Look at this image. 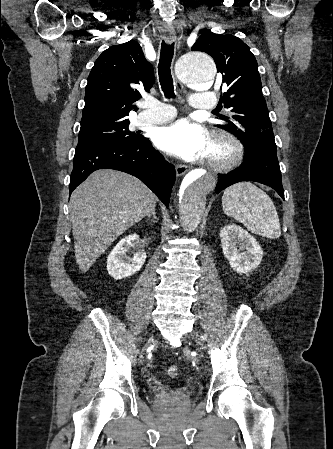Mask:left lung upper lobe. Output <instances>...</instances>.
Instances as JSON below:
<instances>
[{
	"mask_svg": "<svg viewBox=\"0 0 333 449\" xmlns=\"http://www.w3.org/2000/svg\"><path fill=\"white\" fill-rule=\"evenodd\" d=\"M191 49L213 57L217 71L222 73L223 86H227L221 100L232 114L220 115L225 124L217 127L231 132L242 142L247 160L278 162L258 64L249 47L238 37L207 30Z\"/></svg>",
	"mask_w": 333,
	"mask_h": 449,
	"instance_id": "obj_1",
	"label": "left lung upper lobe"
}]
</instances>
